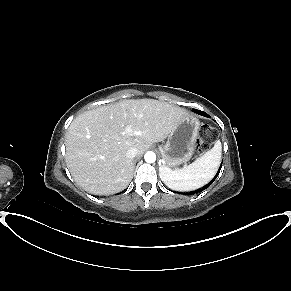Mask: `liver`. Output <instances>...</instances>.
I'll return each instance as SVG.
<instances>
[{"instance_id": "liver-1", "label": "liver", "mask_w": 291, "mask_h": 291, "mask_svg": "<svg viewBox=\"0 0 291 291\" xmlns=\"http://www.w3.org/2000/svg\"><path fill=\"white\" fill-rule=\"evenodd\" d=\"M187 116V110L154 99L122 100L88 110L77 116L66 132L67 167L74 181L89 193L120 192L134 174L127 150L135 147L142 155Z\"/></svg>"}]
</instances>
